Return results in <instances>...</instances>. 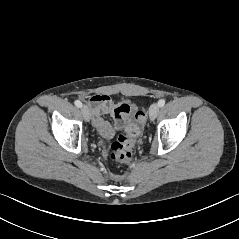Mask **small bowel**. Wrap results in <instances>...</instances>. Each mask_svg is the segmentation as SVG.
<instances>
[{
  "instance_id": "small-bowel-1",
  "label": "small bowel",
  "mask_w": 239,
  "mask_h": 239,
  "mask_svg": "<svg viewBox=\"0 0 239 239\" xmlns=\"http://www.w3.org/2000/svg\"><path fill=\"white\" fill-rule=\"evenodd\" d=\"M88 103L91 108L92 122L104 138L113 137L136 111V107L133 104L129 102L116 104L106 94L93 95L89 98ZM104 115H109L112 121L105 120Z\"/></svg>"
}]
</instances>
